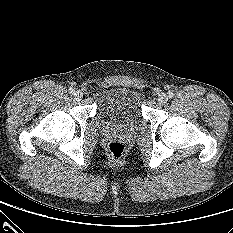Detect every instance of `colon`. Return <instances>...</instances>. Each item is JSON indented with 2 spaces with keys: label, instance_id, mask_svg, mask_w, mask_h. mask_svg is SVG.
Listing matches in <instances>:
<instances>
[{
  "label": "colon",
  "instance_id": "colon-1",
  "mask_svg": "<svg viewBox=\"0 0 233 233\" xmlns=\"http://www.w3.org/2000/svg\"><path fill=\"white\" fill-rule=\"evenodd\" d=\"M107 154L112 163H119L125 155V146L118 141L110 142L107 145Z\"/></svg>",
  "mask_w": 233,
  "mask_h": 233
}]
</instances>
